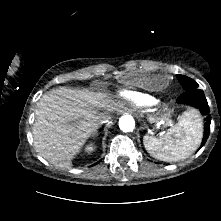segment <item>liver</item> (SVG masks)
<instances>
[{
  "label": "liver",
  "mask_w": 221,
  "mask_h": 221,
  "mask_svg": "<svg viewBox=\"0 0 221 221\" xmlns=\"http://www.w3.org/2000/svg\"><path fill=\"white\" fill-rule=\"evenodd\" d=\"M118 104L105 92L60 87L45 93L36 104L33 139L36 151L56 167L71 168L73 158L111 116Z\"/></svg>",
  "instance_id": "obj_1"
}]
</instances>
